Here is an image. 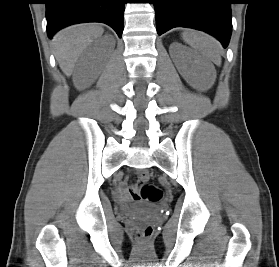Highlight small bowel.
I'll return each mask as SVG.
<instances>
[{
    "label": "small bowel",
    "mask_w": 279,
    "mask_h": 267,
    "mask_svg": "<svg viewBox=\"0 0 279 267\" xmlns=\"http://www.w3.org/2000/svg\"><path fill=\"white\" fill-rule=\"evenodd\" d=\"M134 188H128L125 184H120L117 188L118 194L122 199H133V201H140L141 197L138 192H134Z\"/></svg>",
    "instance_id": "1"
}]
</instances>
